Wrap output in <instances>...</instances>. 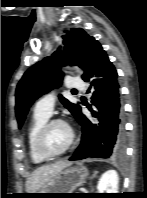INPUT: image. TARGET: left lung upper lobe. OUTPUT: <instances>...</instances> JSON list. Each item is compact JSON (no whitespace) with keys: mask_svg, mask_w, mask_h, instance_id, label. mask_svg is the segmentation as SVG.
<instances>
[{"mask_svg":"<svg viewBox=\"0 0 147 198\" xmlns=\"http://www.w3.org/2000/svg\"><path fill=\"white\" fill-rule=\"evenodd\" d=\"M94 41V37L89 36L82 28H71L66 31L62 46L53 55L45 57L25 72L16 89V117L19 128L23 125L34 100L61 84V66H80L85 71L82 76L84 79ZM59 98L77 119L81 112L79 104H73L61 95Z\"/></svg>","mask_w":147,"mask_h":198,"instance_id":"left-lung-upper-lobe-1","label":"left lung upper lobe"}]
</instances>
